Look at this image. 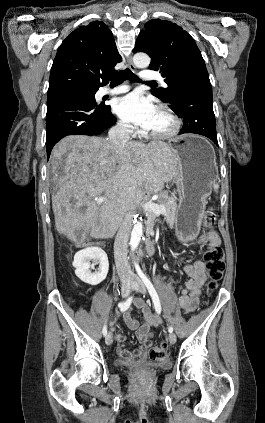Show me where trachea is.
<instances>
[{
  "mask_svg": "<svg viewBox=\"0 0 265 423\" xmlns=\"http://www.w3.org/2000/svg\"><path fill=\"white\" fill-rule=\"evenodd\" d=\"M125 79L130 80L131 82H142L131 70L125 69L120 71L118 75L111 79V85H119ZM146 84H156V82H146Z\"/></svg>",
  "mask_w": 265,
  "mask_h": 423,
  "instance_id": "trachea-1",
  "label": "trachea"
}]
</instances>
